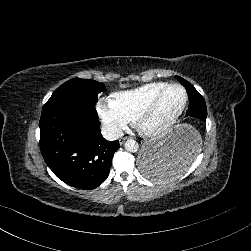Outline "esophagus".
Wrapping results in <instances>:
<instances>
[{"label":"esophagus","instance_id":"obj_1","mask_svg":"<svg viewBox=\"0 0 251 251\" xmlns=\"http://www.w3.org/2000/svg\"><path fill=\"white\" fill-rule=\"evenodd\" d=\"M127 139H128V137H122V138H120V139H119L120 145H122V143H123L125 140H127Z\"/></svg>","mask_w":251,"mask_h":251}]
</instances>
